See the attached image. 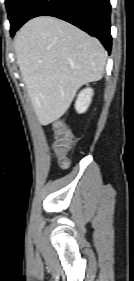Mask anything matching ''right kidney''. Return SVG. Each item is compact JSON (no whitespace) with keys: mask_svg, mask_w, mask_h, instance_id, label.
Returning <instances> with one entry per match:
<instances>
[{"mask_svg":"<svg viewBox=\"0 0 134 281\" xmlns=\"http://www.w3.org/2000/svg\"><path fill=\"white\" fill-rule=\"evenodd\" d=\"M92 96L93 89L91 88H86L79 93L75 103V108L78 113H84L88 109L92 101Z\"/></svg>","mask_w":134,"mask_h":281,"instance_id":"ca27d5eb","label":"right kidney"}]
</instances>
